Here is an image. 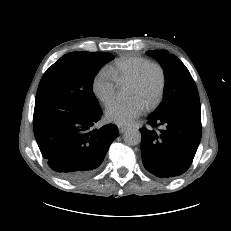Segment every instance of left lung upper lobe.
Here are the masks:
<instances>
[{
    "label": "left lung upper lobe",
    "mask_w": 231,
    "mask_h": 231,
    "mask_svg": "<svg viewBox=\"0 0 231 231\" xmlns=\"http://www.w3.org/2000/svg\"><path fill=\"white\" fill-rule=\"evenodd\" d=\"M146 53L160 63L166 78L163 102L151 115H168L187 108L200 109L196 84L182 61L166 50H151Z\"/></svg>",
    "instance_id": "left-lung-upper-lobe-1"
}]
</instances>
